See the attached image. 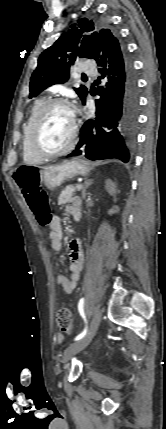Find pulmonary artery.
<instances>
[{"instance_id":"pulmonary-artery-1","label":"pulmonary artery","mask_w":166,"mask_h":429,"mask_svg":"<svg viewBox=\"0 0 166 429\" xmlns=\"http://www.w3.org/2000/svg\"><path fill=\"white\" fill-rule=\"evenodd\" d=\"M82 72H83L85 75H92V74H93V72H94V67H93V66H85V67L82 69Z\"/></svg>"}]
</instances>
